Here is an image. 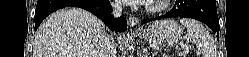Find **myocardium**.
I'll return each instance as SVG.
<instances>
[{
    "mask_svg": "<svg viewBox=\"0 0 249 57\" xmlns=\"http://www.w3.org/2000/svg\"><path fill=\"white\" fill-rule=\"evenodd\" d=\"M170 2V0L152 1L146 4V10L149 12H161L169 6Z\"/></svg>",
    "mask_w": 249,
    "mask_h": 57,
    "instance_id": "1",
    "label": "myocardium"
}]
</instances>
